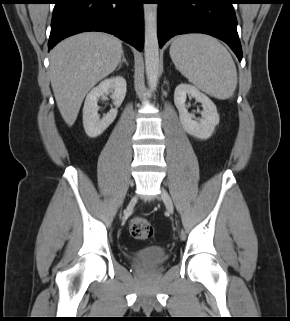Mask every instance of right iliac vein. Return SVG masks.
Masks as SVG:
<instances>
[{
    "label": "right iliac vein",
    "mask_w": 290,
    "mask_h": 321,
    "mask_svg": "<svg viewBox=\"0 0 290 321\" xmlns=\"http://www.w3.org/2000/svg\"><path fill=\"white\" fill-rule=\"evenodd\" d=\"M135 201H136V198H135V197H133V198L131 199V201H130V204H129V206H132V205H134Z\"/></svg>",
    "instance_id": "1"
}]
</instances>
